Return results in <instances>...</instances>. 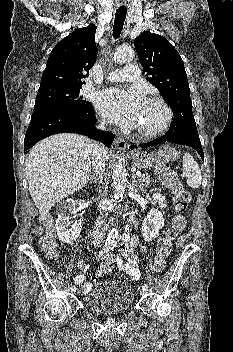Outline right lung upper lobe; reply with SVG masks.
Returning <instances> with one entry per match:
<instances>
[{"label": "right lung upper lobe", "mask_w": 233, "mask_h": 352, "mask_svg": "<svg viewBox=\"0 0 233 352\" xmlns=\"http://www.w3.org/2000/svg\"><path fill=\"white\" fill-rule=\"evenodd\" d=\"M95 32L96 26L91 24L61 40L49 55L40 87L84 84L98 53Z\"/></svg>", "instance_id": "obj_1"}]
</instances>
